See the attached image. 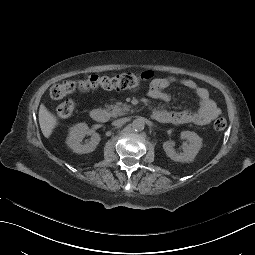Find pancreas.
Instances as JSON below:
<instances>
[{
  "instance_id": "pancreas-1",
  "label": "pancreas",
  "mask_w": 255,
  "mask_h": 255,
  "mask_svg": "<svg viewBox=\"0 0 255 255\" xmlns=\"http://www.w3.org/2000/svg\"><path fill=\"white\" fill-rule=\"evenodd\" d=\"M130 106L126 104H122L121 102H117L115 105L106 106V111L112 116H122L126 111H129Z\"/></svg>"
}]
</instances>
